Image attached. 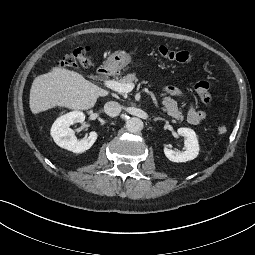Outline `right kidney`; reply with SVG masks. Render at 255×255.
<instances>
[{"label": "right kidney", "mask_w": 255, "mask_h": 255, "mask_svg": "<svg viewBox=\"0 0 255 255\" xmlns=\"http://www.w3.org/2000/svg\"><path fill=\"white\" fill-rule=\"evenodd\" d=\"M85 115L80 111L69 112L59 117L52 125L51 136L55 143L66 150L74 153H83L90 149L97 139V133L92 131L89 136L82 140H77L73 130L70 128L75 123H83Z\"/></svg>", "instance_id": "1"}]
</instances>
